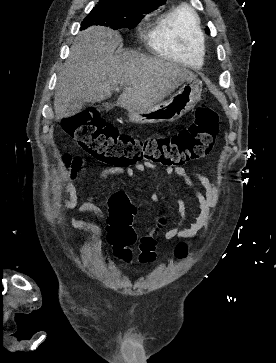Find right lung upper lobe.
Segmentation results:
<instances>
[{
    "instance_id": "right-lung-upper-lobe-1",
    "label": "right lung upper lobe",
    "mask_w": 276,
    "mask_h": 363,
    "mask_svg": "<svg viewBox=\"0 0 276 363\" xmlns=\"http://www.w3.org/2000/svg\"><path fill=\"white\" fill-rule=\"evenodd\" d=\"M102 2L116 3L121 5L145 4L150 6H159L164 4L165 0H101Z\"/></svg>"
}]
</instances>
